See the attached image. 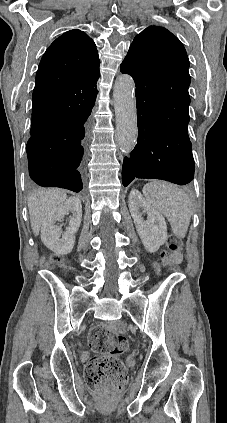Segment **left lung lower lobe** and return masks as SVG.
Here are the masks:
<instances>
[{
	"label": "left lung lower lobe",
	"mask_w": 227,
	"mask_h": 423,
	"mask_svg": "<svg viewBox=\"0 0 227 423\" xmlns=\"http://www.w3.org/2000/svg\"><path fill=\"white\" fill-rule=\"evenodd\" d=\"M137 99L138 139L125 157L122 183L134 178L166 180L185 185L194 178L192 145L188 136L189 112H156Z\"/></svg>",
	"instance_id": "0a47b994"
}]
</instances>
